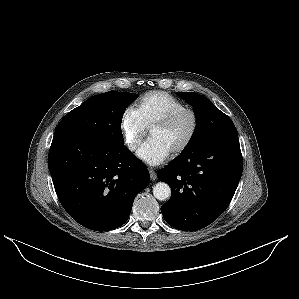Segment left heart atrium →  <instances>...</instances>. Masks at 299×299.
<instances>
[{
    "label": "left heart atrium",
    "instance_id": "left-heart-atrium-1",
    "mask_svg": "<svg viewBox=\"0 0 299 299\" xmlns=\"http://www.w3.org/2000/svg\"><path fill=\"white\" fill-rule=\"evenodd\" d=\"M137 155L145 163L156 166L169 157L170 151L161 141L150 138L139 148Z\"/></svg>",
    "mask_w": 299,
    "mask_h": 299
}]
</instances>
